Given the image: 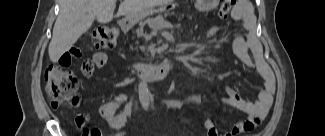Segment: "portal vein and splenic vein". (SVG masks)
Segmentation results:
<instances>
[{
  "mask_svg": "<svg viewBox=\"0 0 325 136\" xmlns=\"http://www.w3.org/2000/svg\"><path fill=\"white\" fill-rule=\"evenodd\" d=\"M157 24L160 25V26H162V27L170 25L168 22H166L164 20H159L157 22Z\"/></svg>",
  "mask_w": 325,
  "mask_h": 136,
  "instance_id": "1",
  "label": "portal vein and splenic vein"
}]
</instances>
